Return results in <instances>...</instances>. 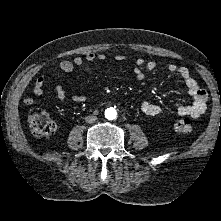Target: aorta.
<instances>
[{"instance_id": "obj_1", "label": "aorta", "mask_w": 221, "mask_h": 221, "mask_svg": "<svg viewBox=\"0 0 221 221\" xmlns=\"http://www.w3.org/2000/svg\"><path fill=\"white\" fill-rule=\"evenodd\" d=\"M105 117L108 120H114L117 117V111L113 107H109L105 110Z\"/></svg>"}]
</instances>
